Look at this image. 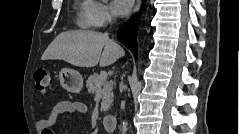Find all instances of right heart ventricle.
Here are the masks:
<instances>
[{
	"label": "right heart ventricle",
	"mask_w": 239,
	"mask_h": 134,
	"mask_svg": "<svg viewBox=\"0 0 239 134\" xmlns=\"http://www.w3.org/2000/svg\"><path fill=\"white\" fill-rule=\"evenodd\" d=\"M91 1L82 0L77 4L76 22L82 28H90L93 26L90 16Z\"/></svg>",
	"instance_id": "1"
}]
</instances>
